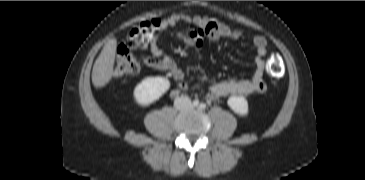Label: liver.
Instances as JSON below:
<instances>
[{
	"instance_id": "obj_1",
	"label": "liver",
	"mask_w": 365,
	"mask_h": 180,
	"mask_svg": "<svg viewBox=\"0 0 365 180\" xmlns=\"http://www.w3.org/2000/svg\"><path fill=\"white\" fill-rule=\"evenodd\" d=\"M117 49L116 38L104 45L92 69V83L96 88L106 86L114 75V62Z\"/></svg>"
}]
</instances>
